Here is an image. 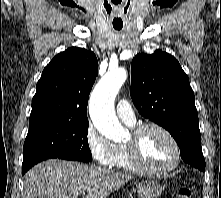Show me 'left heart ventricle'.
<instances>
[{"label": "left heart ventricle", "mask_w": 221, "mask_h": 198, "mask_svg": "<svg viewBox=\"0 0 221 198\" xmlns=\"http://www.w3.org/2000/svg\"><path fill=\"white\" fill-rule=\"evenodd\" d=\"M139 153L142 161L148 167L156 169L169 166L174 159L172 143L156 129H148L141 135Z\"/></svg>", "instance_id": "left-heart-ventricle-1"}]
</instances>
